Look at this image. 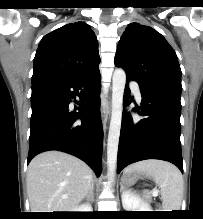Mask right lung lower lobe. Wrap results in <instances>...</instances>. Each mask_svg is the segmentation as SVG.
<instances>
[{"instance_id":"1","label":"right lung lower lobe","mask_w":203,"mask_h":219,"mask_svg":"<svg viewBox=\"0 0 203 219\" xmlns=\"http://www.w3.org/2000/svg\"><path fill=\"white\" fill-rule=\"evenodd\" d=\"M100 72L32 82L28 163L37 154L59 150L85 161L101 174L103 129ZM78 106L70 105L71 99Z\"/></svg>"}]
</instances>
